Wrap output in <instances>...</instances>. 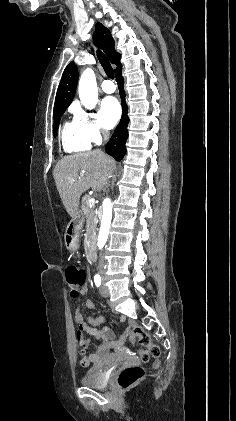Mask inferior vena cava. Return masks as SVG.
I'll list each match as a JSON object with an SVG mask.
<instances>
[{
	"mask_svg": "<svg viewBox=\"0 0 236 421\" xmlns=\"http://www.w3.org/2000/svg\"><path fill=\"white\" fill-rule=\"evenodd\" d=\"M102 134H103V138L104 140H107V138H109V130H102ZM98 152H102V150H100V148H97ZM98 269H99V273H105V263H104V259H101V261H99V265H98Z\"/></svg>",
	"mask_w": 236,
	"mask_h": 421,
	"instance_id": "1",
	"label": "inferior vena cava"
}]
</instances>
